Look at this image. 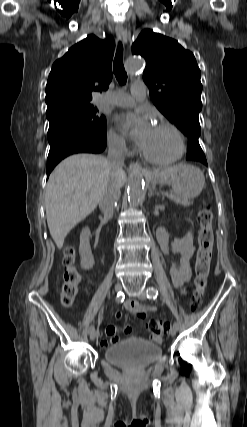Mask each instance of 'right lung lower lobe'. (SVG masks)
Segmentation results:
<instances>
[{
    "label": "right lung lower lobe",
    "instance_id": "right-lung-lower-lobe-1",
    "mask_svg": "<svg viewBox=\"0 0 247 427\" xmlns=\"http://www.w3.org/2000/svg\"><path fill=\"white\" fill-rule=\"evenodd\" d=\"M48 141L50 151L47 158V177L62 159L71 154L101 153L106 148V139L63 121L50 122Z\"/></svg>",
    "mask_w": 247,
    "mask_h": 427
}]
</instances>
